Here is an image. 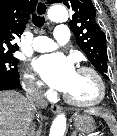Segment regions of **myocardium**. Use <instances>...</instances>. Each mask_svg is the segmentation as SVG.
Returning a JSON list of instances; mask_svg holds the SVG:
<instances>
[{
	"mask_svg": "<svg viewBox=\"0 0 117 136\" xmlns=\"http://www.w3.org/2000/svg\"><path fill=\"white\" fill-rule=\"evenodd\" d=\"M77 71L78 72H87L95 78V80L97 82V86H98V95L95 99H93L91 101H77V100L71 98L65 92L64 93L65 101L75 107H80V108H89V107H94V106L101 104L106 97V85H105V82H104L102 76L100 75V73L97 70H95L94 68H91L88 66H81L78 68Z\"/></svg>",
	"mask_w": 117,
	"mask_h": 136,
	"instance_id": "1",
	"label": "myocardium"
}]
</instances>
